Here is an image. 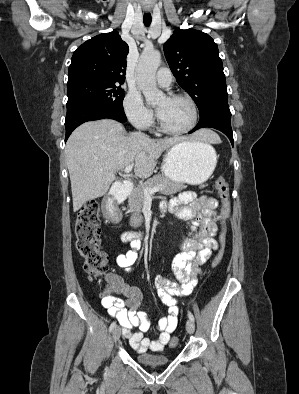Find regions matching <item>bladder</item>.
<instances>
[{
  "mask_svg": "<svg viewBox=\"0 0 299 394\" xmlns=\"http://www.w3.org/2000/svg\"><path fill=\"white\" fill-rule=\"evenodd\" d=\"M137 362L147 368H157L170 363V358L165 355L153 353H139L136 355Z\"/></svg>",
  "mask_w": 299,
  "mask_h": 394,
  "instance_id": "bladder-1",
  "label": "bladder"
}]
</instances>
